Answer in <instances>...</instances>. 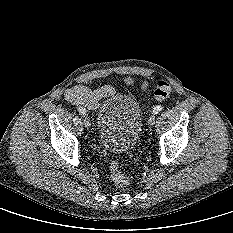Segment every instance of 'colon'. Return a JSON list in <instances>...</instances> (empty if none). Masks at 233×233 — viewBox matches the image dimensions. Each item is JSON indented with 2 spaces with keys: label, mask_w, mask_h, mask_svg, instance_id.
<instances>
[{
  "label": "colon",
  "mask_w": 233,
  "mask_h": 233,
  "mask_svg": "<svg viewBox=\"0 0 233 233\" xmlns=\"http://www.w3.org/2000/svg\"><path fill=\"white\" fill-rule=\"evenodd\" d=\"M171 93V86L167 81L160 80L157 83L156 90L154 92V100L164 101ZM111 178L114 184L118 187H125L129 184V178L123 174L119 168L117 162H113L110 166Z\"/></svg>",
  "instance_id": "5ec220e1"
}]
</instances>
